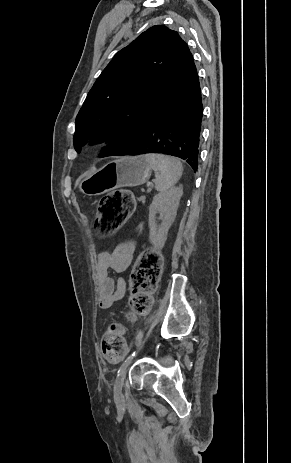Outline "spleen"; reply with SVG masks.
<instances>
[{
    "instance_id": "3e777b00",
    "label": "spleen",
    "mask_w": 291,
    "mask_h": 463,
    "mask_svg": "<svg viewBox=\"0 0 291 463\" xmlns=\"http://www.w3.org/2000/svg\"><path fill=\"white\" fill-rule=\"evenodd\" d=\"M146 161L156 173L155 188L163 192L174 186L182 176L183 166L173 157L161 154H146Z\"/></svg>"
}]
</instances>
